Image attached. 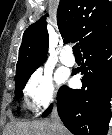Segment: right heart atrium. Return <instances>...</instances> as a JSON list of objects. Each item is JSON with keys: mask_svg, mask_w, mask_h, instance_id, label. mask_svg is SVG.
Wrapping results in <instances>:
<instances>
[{"mask_svg": "<svg viewBox=\"0 0 112 135\" xmlns=\"http://www.w3.org/2000/svg\"><path fill=\"white\" fill-rule=\"evenodd\" d=\"M27 107L32 111H41L53 103L57 97V88L49 73L35 71L23 89Z\"/></svg>", "mask_w": 112, "mask_h": 135, "instance_id": "1", "label": "right heart atrium"}]
</instances>
